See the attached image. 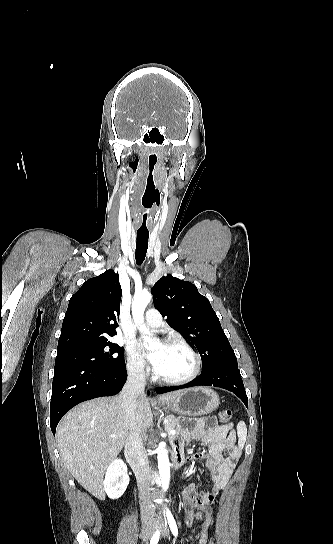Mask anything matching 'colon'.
<instances>
[{
  "instance_id": "colon-1",
  "label": "colon",
  "mask_w": 333,
  "mask_h": 544,
  "mask_svg": "<svg viewBox=\"0 0 333 544\" xmlns=\"http://www.w3.org/2000/svg\"><path fill=\"white\" fill-rule=\"evenodd\" d=\"M232 418V411L230 409H224L220 412L219 414V420L222 422V423H227L231 420ZM212 502L213 503H217V499H216V496L212 498ZM208 544H214V541L211 539Z\"/></svg>"
}]
</instances>
